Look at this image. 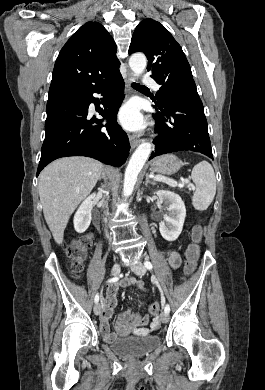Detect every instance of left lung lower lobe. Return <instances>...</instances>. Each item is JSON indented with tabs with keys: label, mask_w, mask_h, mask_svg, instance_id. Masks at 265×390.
<instances>
[{
	"label": "left lung lower lobe",
	"mask_w": 265,
	"mask_h": 390,
	"mask_svg": "<svg viewBox=\"0 0 265 390\" xmlns=\"http://www.w3.org/2000/svg\"><path fill=\"white\" fill-rule=\"evenodd\" d=\"M153 115L158 136L149 159L177 151H194L213 159L202 101L197 91L166 92Z\"/></svg>",
	"instance_id": "1"
}]
</instances>
